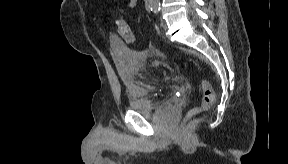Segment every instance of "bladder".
Masks as SVG:
<instances>
[{"label":"bladder","mask_w":288,"mask_h":164,"mask_svg":"<svg viewBox=\"0 0 288 164\" xmlns=\"http://www.w3.org/2000/svg\"><path fill=\"white\" fill-rule=\"evenodd\" d=\"M110 47L116 63L129 78L134 79L145 57L132 50L121 39L111 37ZM160 104L157 91L149 86H132L129 98V109L142 114H151Z\"/></svg>","instance_id":"31cf9c89"}]
</instances>
